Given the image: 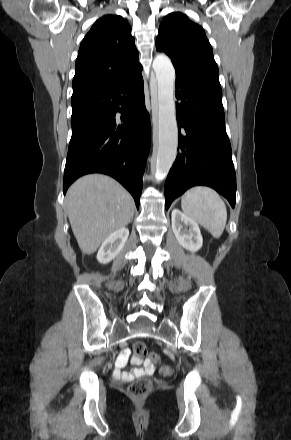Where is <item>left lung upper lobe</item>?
<instances>
[{
    "label": "left lung upper lobe",
    "mask_w": 291,
    "mask_h": 440,
    "mask_svg": "<svg viewBox=\"0 0 291 440\" xmlns=\"http://www.w3.org/2000/svg\"><path fill=\"white\" fill-rule=\"evenodd\" d=\"M156 50L171 58L176 77L221 90L212 47L203 28L186 15L174 12L163 18Z\"/></svg>",
    "instance_id": "5c2ea615"
}]
</instances>
